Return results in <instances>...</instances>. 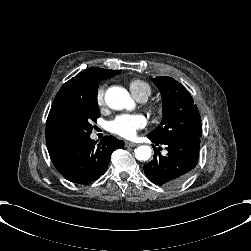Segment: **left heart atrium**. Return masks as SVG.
<instances>
[{"instance_id":"1","label":"left heart atrium","mask_w":251,"mask_h":251,"mask_svg":"<svg viewBox=\"0 0 251 251\" xmlns=\"http://www.w3.org/2000/svg\"><path fill=\"white\" fill-rule=\"evenodd\" d=\"M146 125V118L141 114H121L108 123V130L121 137H131Z\"/></svg>"}]
</instances>
